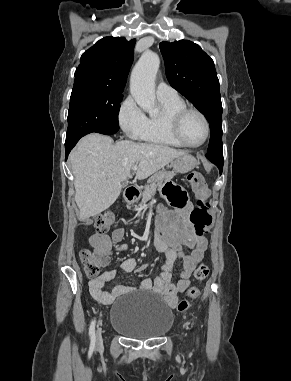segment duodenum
Here are the masks:
<instances>
[{"label":"duodenum","instance_id":"410a0bca","mask_svg":"<svg viewBox=\"0 0 291 381\" xmlns=\"http://www.w3.org/2000/svg\"><path fill=\"white\" fill-rule=\"evenodd\" d=\"M138 195H139V190L136 187H128L124 193L125 200L128 203H134Z\"/></svg>","mask_w":291,"mask_h":381}]
</instances>
